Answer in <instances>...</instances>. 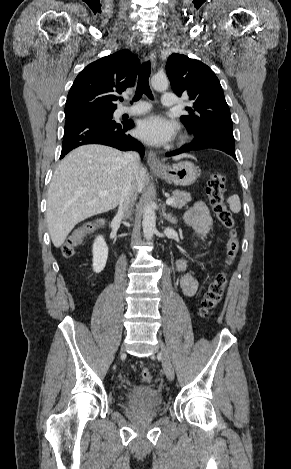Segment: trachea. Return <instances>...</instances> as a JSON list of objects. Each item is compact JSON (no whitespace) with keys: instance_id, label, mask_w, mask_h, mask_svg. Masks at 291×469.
Masks as SVG:
<instances>
[{"instance_id":"1","label":"trachea","mask_w":291,"mask_h":469,"mask_svg":"<svg viewBox=\"0 0 291 469\" xmlns=\"http://www.w3.org/2000/svg\"><path fill=\"white\" fill-rule=\"evenodd\" d=\"M151 73V66H150V61H146L142 64L138 76V83H137V89L135 92V96L133 98L134 101H138L143 94L148 96L150 99L153 98L152 92L149 87V77ZM123 101V98L120 99Z\"/></svg>"}]
</instances>
